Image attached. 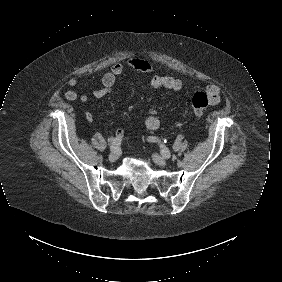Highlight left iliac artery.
Here are the masks:
<instances>
[{"mask_svg": "<svg viewBox=\"0 0 282 282\" xmlns=\"http://www.w3.org/2000/svg\"><path fill=\"white\" fill-rule=\"evenodd\" d=\"M150 140L155 142L157 141L155 137H150ZM161 147V154L163 157L165 158H169L170 157V151L168 150V148H166L164 145H160Z\"/></svg>", "mask_w": 282, "mask_h": 282, "instance_id": "44dca946", "label": "left iliac artery"}]
</instances>
